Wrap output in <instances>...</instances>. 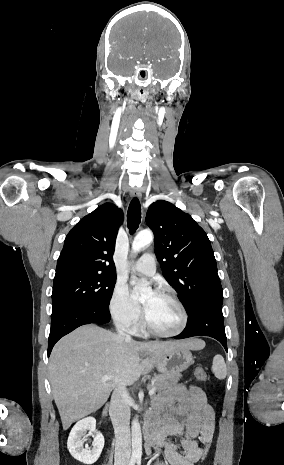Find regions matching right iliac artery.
Segmentation results:
<instances>
[{
    "label": "right iliac artery",
    "instance_id": "right-iliac-artery-1",
    "mask_svg": "<svg viewBox=\"0 0 284 465\" xmlns=\"http://www.w3.org/2000/svg\"><path fill=\"white\" fill-rule=\"evenodd\" d=\"M135 462H136L135 459H131L130 462H129V465H135Z\"/></svg>",
    "mask_w": 284,
    "mask_h": 465
}]
</instances>
